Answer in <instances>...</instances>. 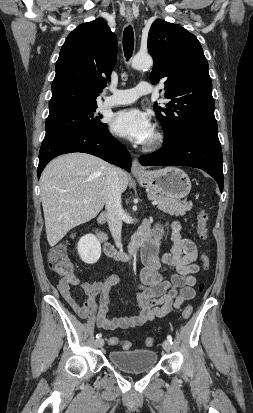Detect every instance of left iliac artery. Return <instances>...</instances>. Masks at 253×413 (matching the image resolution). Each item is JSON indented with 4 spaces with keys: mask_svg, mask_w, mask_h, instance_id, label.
Wrapping results in <instances>:
<instances>
[{
    "mask_svg": "<svg viewBox=\"0 0 253 413\" xmlns=\"http://www.w3.org/2000/svg\"><path fill=\"white\" fill-rule=\"evenodd\" d=\"M167 340L172 344V336L171 335L167 336Z\"/></svg>",
    "mask_w": 253,
    "mask_h": 413,
    "instance_id": "left-iliac-artery-1",
    "label": "left iliac artery"
}]
</instances>
